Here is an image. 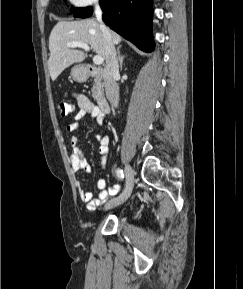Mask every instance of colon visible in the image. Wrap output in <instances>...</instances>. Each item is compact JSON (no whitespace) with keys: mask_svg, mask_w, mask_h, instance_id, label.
<instances>
[{"mask_svg":"<svg viewBox=\"0 0 243 289\" xmlns=\"http://www.w3.org/2000/svg\"><path fill=\"white\" fill-rule=\"evenodd\" d=\"M58 111L61 117H67L74 112V106L66 101H62L58 104Z\"/></svg>","mask_w":243,"mask_h":289,"instance_id":"colon-1","label":"colon"}]
</instances>
